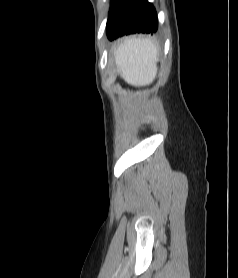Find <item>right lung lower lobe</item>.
<instances>
[{
  "mask_svg": "<svg viewBox=\"0 0 238 278\" xmlns=\"http://www.w3.org/2000/svg\"><path fill=\"white\" fill-rule=\"evenodd\" d=\"M158 19L155 8L147 0H112L107 21L110 40L136 32L157 31Z\"/></svg>",
  "mask_w": 238,
  "mask_h": 278,
  "instance_id": "98d812e1",
  "label": "right lung lower lobe"
}]
</instances>
